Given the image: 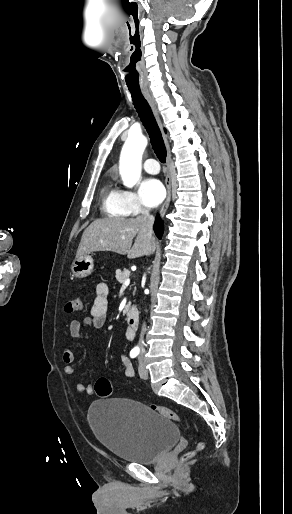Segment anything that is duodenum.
<instances>
[{"instance_id": "1", "label": "duodenum", "mask_w": 292, "mask_h": 514, "mask_svg": "<svg viewBox=\"0 0 292 514\" xmlns=\"http://www.w3.org/2000/svg\"><path fill=\"white\" fill-rule=\"evenodd\" d=\"M127 325L129 332H133L138 325L139 312L135 306H131L127 310Z\"/></svg>"}]
</instances>
